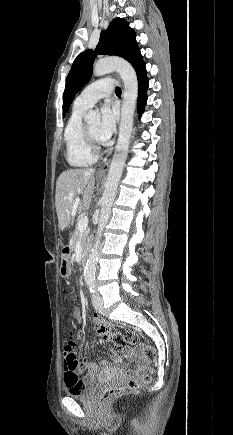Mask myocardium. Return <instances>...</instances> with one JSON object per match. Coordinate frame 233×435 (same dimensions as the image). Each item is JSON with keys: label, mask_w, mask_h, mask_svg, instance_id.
<instances>
[{"label": "myocardium", "mask_w": 233, "mask_h": 435, "mask_svg": "<svg viewBox=\"0 0 233 435\" xmlns=\"http://www.w3.org/2000/svg\"><path fill=\"white\" fill-rule=\"evenodd\" d=\"M83 132L85 140L89 146V148L92 150L94 154H98L100 152V145L98 140L92 135L87 123H84L83 125Z\"/></svg>", "instance_id": "f54148a6"}]
</instances>
